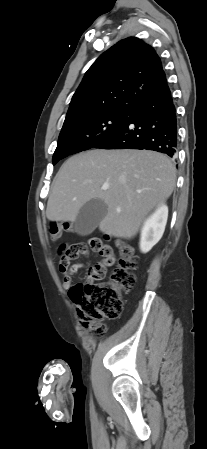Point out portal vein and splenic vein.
I'll return each mask as SVG.
<instances>
[{
	"instance_id": "18ae733b",
	"label": "portal vein and splenic vein",
	"mask_w": 207,
	"mask_h": 449,
	"mask_svg": "<svg viewBox=\"0 0 207 449\" xmlns=\"http://www.w3.org/2000/svg\"><path fill=\"white\" fill-rule=\"evenodd\" d=\"M108 188H109V185H108V184H104V185H102V187H101L102 190H107Z\"/></svg>"
}]
</instances>
